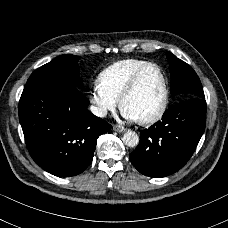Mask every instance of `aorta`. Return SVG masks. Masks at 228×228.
Returning a JSON list of instances; mask_svg holds the SVG:
<instances>
[{
	"mask_svg": "<svg viewBox=\"0 0 228 228\" xmlns=\"http://www.w3.org/2000/svg\"><path fill=\"white\" fill-rule=\"evenodd\" d=\"M123 142L130 148H136L139 144V137L135 132L128 131L123 136Z\"/></svg>",
	"mask_w": 228,
	"mask_h": 228,
	"instance_id": "762f6f07",
	"label": "aorta"
}]
</instances>
